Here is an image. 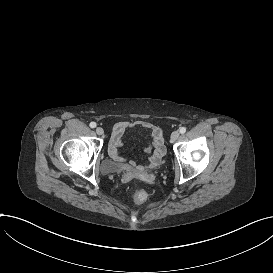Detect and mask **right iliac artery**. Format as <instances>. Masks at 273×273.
<instances>
[{"mask_svg": "<svg viewBox=\"0 0 273 273\" xmlns=\"http://www.w3.org/2000/svg\"><path fill=\"white\" fill-rule=\"evenodd\" d=\"M91 128H95L96 127V123L95 122H91L89 125Z\"/></svg>", "mask_w": 273, "mask_h": 273, "instance_id": "82829eb1", "label": "right iliac artery"}]
</instances>
